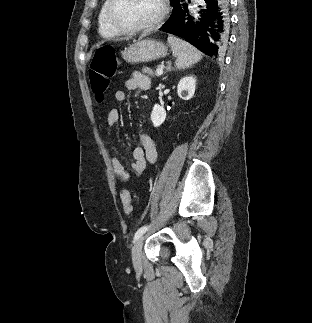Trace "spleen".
I'll return each instance as SVG.
<instances>
[{
    "label": "spleen",
    "instance_id": "1",
    "mask_svg": "<svg viewBox=\"0 0 312 323\" xmlns=\"http://www.w3.org/2000/svg\"><path fill=\"white\" fill-rule=\"evenodd\" d=\"M167 42L171 46L173 56L177 58L175 64L176 68H179V70L190 68L192 64H197L202 58V54L199 50H196V48L191 46V44H188V42H184V40L172 36V34H168Z\"/></svg>",
    "mask_w": 312,
    "mask_h": 323
}]
</instances>
